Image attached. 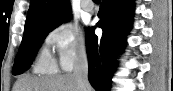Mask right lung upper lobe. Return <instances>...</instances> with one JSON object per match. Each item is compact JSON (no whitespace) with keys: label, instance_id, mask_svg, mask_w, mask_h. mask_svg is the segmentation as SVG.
Segmentation results:
<instances>
[{"label":"right lung upper lobe","instance_id":"right-lung-upper-lobe-1","mask_svg":"<svg viewBox=\"0 0 173 91\" xmlns=\"http://www.w3.org/2000/svg\"><path fill=\"white\" fill-rule=\"evenodd\" d=\"M70 15L68 0H31L24 32L44 25H54Z\"/></svg>","mask_w":173,"mask_h":91}]
</instances>
